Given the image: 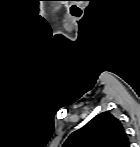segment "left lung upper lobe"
<instances>
[{"label": "left lung upper lobe", "instance_id": "1", "mask_svg": "<svg viewBox=\"0 0 140 147\" xmlns=\"http://www.w3.org/2000/svg\"><path fill=\"white\" fill-rule=\"evenodd\" d=\"M63 147H129V139L122 123L106 111L73 132Z\"/></svg>", "mask_w": 140, "mask_h": 147}]
</instances>
